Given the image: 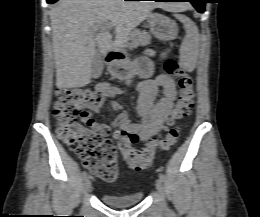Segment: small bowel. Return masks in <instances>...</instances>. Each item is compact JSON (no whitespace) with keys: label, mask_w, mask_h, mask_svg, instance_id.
Returning <instances> with one entry per match:
<instances>
[{"label":"small bowel","mask_w":260,"mask_h":217,"mask_svg":"<svg viewBox=\"0 0 260 217\" xmlns=\"http://www.w3.org/2000/svg\"><path fill=\"white\" fill-rule=\"evenodd\" d=\"M149 54L152 55L153 52L150 51ZM95 90L104 100L109 101L116 117L107 125L98 124L93 121L90 111L98 112L99 108L89 106L87 108L90 111H83L82 120L103 128L115 139L125 136L130 143H136L139 140L147 141L156 136L162 130L177 96L175 81L167 74L161 73L155 79L140 82L138 85L139 98L136 104L139 122L134 123L123 105L115 100V97L123 92L121 88L113 86L109 82H102L95 87ZM159 92H161V96L157 97Z\"/></svg>","instance_id":"obj_1"}]
</instances>
